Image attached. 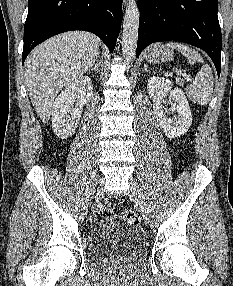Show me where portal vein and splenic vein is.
<instances>
[{
	"label": "portal vein and splenic vein",
	"mask_w": 233,
	"mask_h": 286,
	"mask_svg": "<svg viewBox=\"0 0 233 286\" xmlns=\"http://www.w3.org/2000/svg\"><path fill=\"white\" fill-rule=\"evenodd\" d=\"M177 75H182L187 81H191V78L186 73H182L180 70H177Z\"/></svg>",
	"instance_id": "obj_1"
}]
</instances>
